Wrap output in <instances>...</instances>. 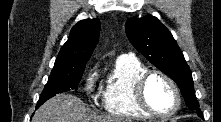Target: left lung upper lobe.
Returning a JSON list of instances; mask_svg holds the SVG:
<instances>
[{
    "label": "left lung upper lobe",
    "mask_w": 221,
    "mask_h": 122,
    "mask_svg": "<svg viewBox=\"0 0 221 122\" xmlns=\"http://www.w3.org/2000/svg\"><path fill=\"white\" fill-rule=\"evenodd\" d=\"M125 27L134 47L163 73L170 75L189 108L199 110L191 71L170 31L151 15L129 19Z\"/></svg>",
    "instance_id": "5c2ea615"
}]
</instances>
